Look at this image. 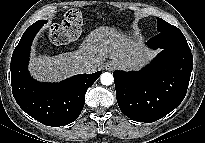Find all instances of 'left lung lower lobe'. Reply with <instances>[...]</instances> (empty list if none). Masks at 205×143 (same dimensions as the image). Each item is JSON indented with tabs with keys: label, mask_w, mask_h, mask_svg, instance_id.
<instances>
[{
	"label": "left lung lower lobe",
	"mask_w": 205,
	"mask_h": 143,
	"mask_svg": "<svg viewBox=\"0 0 205 143\" xmlns=\"http://www.w3.org/2000/svg\"><path fill=\"white\" fill-rule=\"evenodd\" d=\"M162 51L141 71L113 72L117 102L130 119L151 123L166 116L184 99L193 57L185 36L177 29L159 32L147 42Z\"/></svg>",
	"instance_id": "left-lung-lower-lobe-1"
}]
</instances>
